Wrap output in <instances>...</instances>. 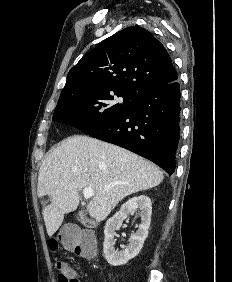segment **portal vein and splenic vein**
<instances>
[{"instance_id": "1", "label": "portal vein and splenic vein", "mask_w": 232, "mask_h": 282, "mask_svg": "<svg viewBox=\"0 0 232 282\" xmlns=\"http://www.w3.org/2000/svg\"><path fill=\"white\" fill-rule=\"evenodd\" d=\"M95 194H94V191L91 187H86L83 189V197L84 199H89L91 197H93Z\"/></svg>"}]
</instances>
